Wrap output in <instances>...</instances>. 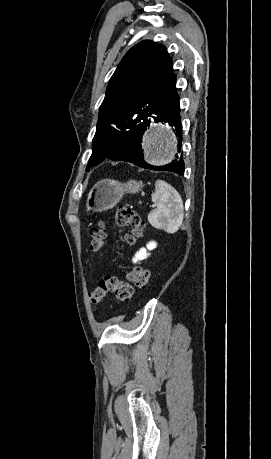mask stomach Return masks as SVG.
Listing matches in <instances>:
<instances>
[{
	"label": "stomach",
	"instance_id": "stomach-1",
	"mask_svg": "<svg viewBox=\"0 0 271 459\" xmlns=\"http://www.w3.org/2000/svg\"><path fill=\"white\" fill-rule=\"evenodd\" d=\"M142 182L129 180L126 184H120L116 180H100L91 188L87 200V212H106L114 208L124 194H137L142 190Z\"/></svg>",
	"mask_w": 271,
	"mask_h": 459
}]
</instances>
